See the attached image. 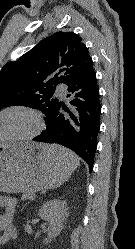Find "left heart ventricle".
I'll list each match as a JSON object with an SVG mask.
<instances>
[{
	"instance_id": "1",
	"label": "left heart ventricle",
	"mask_w": 135,
	"mask_h": 249,
	"mask_svg": "<svg viewBox=\"0 0 135 249\" xmlns=\"http://www.w3.org/2000/svg\"><path fill=\"white\" fill-rule=\"evenodd\" d=\"M33 128L31 118L20 112H11L0 116V138L22 135Z\"/></svg>"
}]
</instances>
